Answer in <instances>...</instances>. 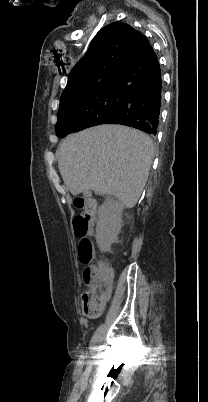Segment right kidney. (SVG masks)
Returning a JSON list of instances; mask_svg holds the SVG:
<instances>
[{"mask_svg": "<svg viewBox=\"0 0 208 402\" xmlns=\"http://www.w3.org/2000/svg\"><path fill=\"white\" fill-rule=\"evenodd\" d=\"M123 208V204L114 198H107L100 206L95 238L101 252H108L112 242L118 240L117 236L123 226Z\"/></svg>", "mask_w": 208, "mask_h": 402, "instance_id": "ca27d5eb", "label": "right kidney"}]
</instances>
